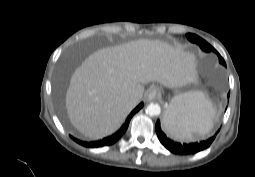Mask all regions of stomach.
I'll use <instances>...</instances> for the list:
<instances>
[{"instance_id":"0dacf381","label":"stomach","mask_w":255,"mask_h":177,"mask_svg":"<svg viewBox=\"0 0 255 177\" xmlns=\"http://www.w3.org/2000/svg\"><path fill=\"white\" fill-rule=\"evenodd\" d=\"M170 110H171V106L169 105V107H168V108H167V110H166V113H165L164 119H165V117H166L167 113H168Z\"/></svg>"}]
</instances>
